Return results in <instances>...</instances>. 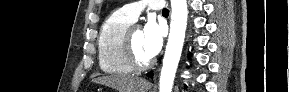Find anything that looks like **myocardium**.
<instances>
[{
	"mask_svg": "<svg viewBox=\"0 0 289 92\" xmlns=\"http://www.w3.org/2000/svg\"><path fill=\"white\" fill-rule=\"evenodd\" d=\"M137 27L138 26L136 25H130L126 29L122 40V53L126 62L133 70L143 71L150 68L154 64V60L151 58L150 60L144 62L138 59L134 51L132 41L133 30Z\"/></svg>",
	"mask_w": 289,
	"mask_h": 92,
	"instance_id": "1",
	"label": "myocardium"
}]
</instances>
